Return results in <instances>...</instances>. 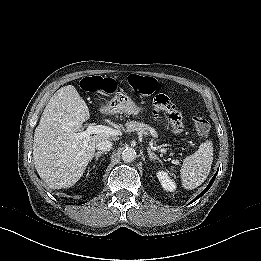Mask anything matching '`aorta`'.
<instances>
[{
  "label": "aorta",
  "instance_id": "obj_1",
  "mask_svg": "<svg viewBox=\"0 0 261 261\" xmlns=\"http://www.w3.org/2000/svg\"><path fill=\"white\" fill-rule=\"evenodd\" d=\"M136 156V152L132 148H126L122 152V160L127 163L134 161L136 159Z\"/></svg>",
  "mask_w": 261,
  "mask_h": 261
}]
</instances>
